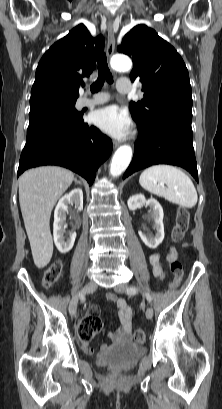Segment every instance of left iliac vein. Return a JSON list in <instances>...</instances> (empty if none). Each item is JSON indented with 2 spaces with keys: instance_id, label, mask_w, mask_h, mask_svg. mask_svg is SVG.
I'll use <instances>...</instances> for the list:
<instances>
[{
  "instance_id": "4c4485c4",
  "label": "left iliac vein",
  "mask_w": 222,
  "mask_h": 409,
  "mask_svg": "<svg viewBox=\"0 0 222 409\" xmlns=\"http://www.w3.org/2000/svg\"><path fill=\"white\" fill-rule=\"evenodd\" d=\"M115 291L117 293H124L126 291V285L124 283H120L115 286ZM145 315L147 319H151L153 317V309L151 307H148L146 309Z\"/></svg>"
}]
</instances>
